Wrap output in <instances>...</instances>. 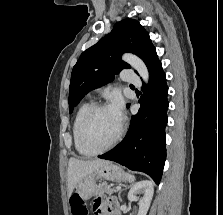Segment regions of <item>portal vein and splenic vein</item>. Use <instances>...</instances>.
Returning a JSON list of instances; mask_svg holds the SVG:
<instances>
[{
  "label": "portal vein and splenic vein",
  "mask_w": 223,
  "mask_h": 215,
  "mask_svg": "<svg viewBox=\"0 0 223 215\" xmlns=\"http://www.w3.org/2000/svg\"><path fill=\"white\" fill-rule=\"evenodd\" d=\"M115 189H121V186H115Z\"/></svg>",
  "instance_id": "obj_1"
}]
</instances>
